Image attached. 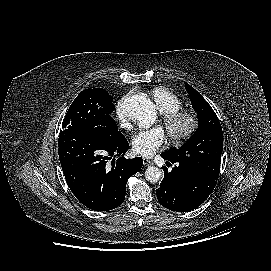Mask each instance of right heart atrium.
<instances>
[{
    "label": "right heart atrium",
    "mask_w": 271,
    "mask_h": 271,
    "mask_svg": "<svg viewBox=\"0 0 271 271\" xmlns=\"http://www.w3.org/2000/svg\"><path fill=\"white\" fill-rule=\"evenodd\" d=\"M128 99V96L122 98L116 105V116H117V119L119 120V122L122 124V125H126L127 123V114L126 112L124 111V108H123V104L124 102Z\"/></svg>",
    "instance_id": "obj_1"
}]
</instances>
